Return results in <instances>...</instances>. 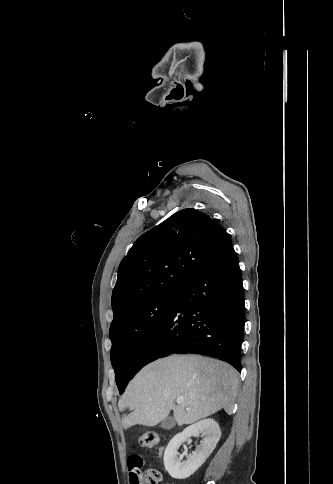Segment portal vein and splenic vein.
I'll list each match as a JSON object with an SVG mask.
<instances>
[{
	"label": "portal vein and splenic vein",
	"mask_w": 333,
	"mask_h": 484,
	"mask_svg": "<svg viewBox=\"0 0 333 484\" xmlns=\"http://www.w3.org/2000/svg\"><path fill=\"white\" fill-rule=\"evenodd\" d=\"M182 401H183V398H182V397H179V398H177V400H176L177 404L182 403Z\"/></svg>",
	"instance_id": "18ae733b"
}]
</instances>
